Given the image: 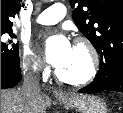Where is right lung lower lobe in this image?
<instances>
[{"mask_svg":"<svg viewBox=\"0 0 123 113\" xmlns=\"http://www.w3.org/2000/svg\"><path fill=\"white\" fill-rule=\"evenodd\" d=\"M20 66L14 69L1 67V89L12 88L21 80Z\"/></svg>","mask_w":123,"mask_h":113,"instance_id":"right-lung-lower-lobe-1","label":"right lung lower lobe"}]
</instances>
